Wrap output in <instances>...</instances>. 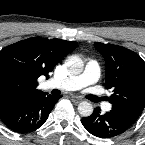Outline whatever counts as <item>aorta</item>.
<instances>
[{
  "mask_svg": "<svg viewBox=\"0 0 145 145\" xmlns=\"http://www.w3.org/2000/svg\"><path fill=\"white\" fill-rule=\"evenodd\" d=\"M66 66L72 75H78L82 73L84 63L80 57L74 55L67 59ZM78 112L81 116L88 117L93 113V107L89 102L83 101L78 105Z\"/></svg>",
  "mask_w": 145,
  "mask_h": 145,
  "instance_id": "aorta-1",
  "label": "aorta"
}]
</instances>
